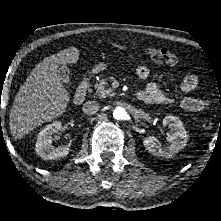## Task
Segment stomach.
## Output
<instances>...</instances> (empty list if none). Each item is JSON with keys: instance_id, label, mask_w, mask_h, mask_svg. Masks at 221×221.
<instances>
[{"instance_id": "0dacf381", "label": "stomach", "mask_w": 221, "mask_h": 221, "mask_svg": "<svg viewBox=\"0 0 221 221\" xmlns=\"http://www.w3.org/2000/svg\"><path fill=\"white\" fill-rule=\"evenodd\" d=\"M106 64L104 63H100V64H97L93 69H92V72L94 74H97V73H100L101 71L105 70L106 69Z\"/></svg>"}]
</instances>
